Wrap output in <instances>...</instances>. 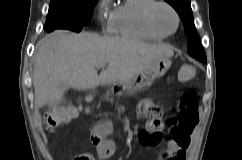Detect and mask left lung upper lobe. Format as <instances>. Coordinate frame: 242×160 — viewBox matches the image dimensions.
I'll return each instance as SVG.
<instances>
[{
    "label": "left lung upper lobe",
    "mask_w": 242,
    "mask_h": 160,
    "mask_svg": "<svg viewBox=\"0 0 242 160\" xmlns=\"http://www.w3.org/2000/svg\"><path fill=\"white\" fill-rule=\"evenodd\" d=\"M179 14L185 29V34L188 36V53L192 57L201 62H206V55L200 43L194 21L193 13L190 6V0H165Z\"/></svg>",
    "instance_id": "left-lung-upper-lobe-1"
}]
</instances>
